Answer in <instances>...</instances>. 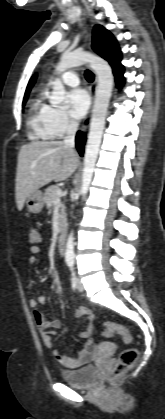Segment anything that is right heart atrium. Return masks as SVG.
<instances>
[{
  "instance_id": "right-heart-atrium-1",
  "label": "right heart atrium",
  "mask_w": 165,
  "mask_h": 419,
  "mask_svg": "<svg viewBox=\"0 0 165 419\" xmlns=\"http://www.w3.org/2000/svg\"><path fill=\"white\" fill-rule=\"evenodd\" d=\"M49 120L55 137L63 136L77 126V122L66 111L57 108L51 107Z\"/></svg>"
}]
</instances>
